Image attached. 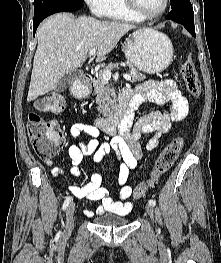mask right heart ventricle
<instances>
[{"label": "right heart ventricle", "instance_id": "e07e8e85", "mask_svg": "<svg viewBox=\"0 0 221 263\" xmlns=\"http://www.w3.org/2000/svg\"><path fill=\"white\" fill-rule=\"evenodd\" d=\"M105 16L119 21L141 20L127 7L124 0H109Z\"/></svg>", "mask_w": 221, "mask_h": 263}]
</instances>
